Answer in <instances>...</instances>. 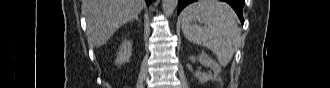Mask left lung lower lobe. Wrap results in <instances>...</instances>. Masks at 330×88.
Here are the masks:
<instances>
[{"label":"left lung lower lobe","mask_w":330,"mask_h":88,"mask_svg":"<svg viewBox=\"0 0 330 88\" xmlns=\"http://www.w3.org/2000/svg\"><path fill=\"white\" fill-rule=\"evenodd\" d=\"M196 0H179L178 3V13L188 4L195 2ZM224 2H227L228 4L231 5V7L235 10L237 13L242 25L244 23L243 15H242V10L244 6L245 0H222Z\"/></svg>","instance_id":"obj_1"}]
</instances>
